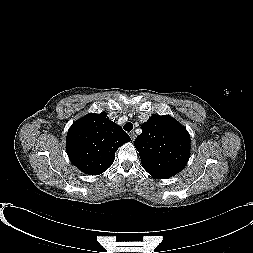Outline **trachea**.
I'll use <instances>...</instances> for the list:
<instances>
[{"instance_id":"obj_1","label":"trachea","mask_w":253,"mask_h":253,"mask_svg":"<svg viewBox=\"0 0 253 253\" xmlns=\"http://www.w3.org/2000/svg\"><path fill=\"white\" fill-rule=\"evenodd\" d=\"M133 129V124L132 123H130V122H128V123H126L125 125H124V130H126V131H131Z\"/></svg>"}]
</instances>
